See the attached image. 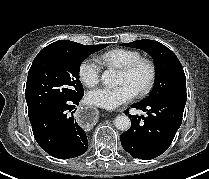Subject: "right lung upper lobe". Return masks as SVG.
Returning a JSON list of instances; mask_svg holds the SVG:
<instances>
[{
    "instance_id": "obj_1",
    "label": "right lung upper lobe",
    "mask_w": 209,
    "mask_h": 179,
    "mask_svg": "<svg viewBox=\"0 0 209 179\" xmlns=\"http://www.w3.org/2000/svg\"><path fill=\"white\" fill-rule=\"evenodd\" d=\"M80 45L79 43L68 41V40H59L56 41L47 47H52V48H62V47H73V46H78Z\"/></svg>"
}]
</instances>
